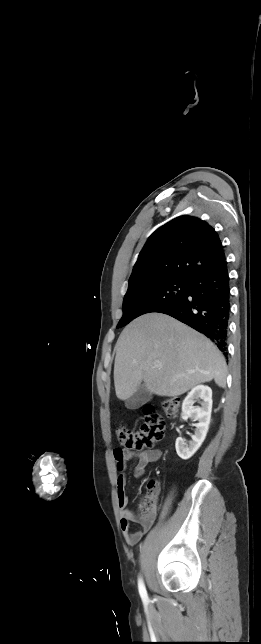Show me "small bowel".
Here are the masks:
<instances>
[{"label": "small bowel", "mask_w": 261, "mask_h": 644, "mask_svg": "<svg viewBox=\"0 0 261 644\" xmlns=\"http://www.w3.org/2000/svg\"><path fill=\"white\" fill-rule=\"evenodd\" d=\"M161 454L162 453L159 449H146L138 451L128 448H115L113 450V457L117 463V469L119 472L116 482V494L118 505L120 507V528L126 542L129 545H135L142 539V537L151 529L153 520L151 519L147 521H141V530L131 531V522H137L138 520L133 511L125 509L128 504V496L125 490V470L127 467V462L133 459L136 460L134 466V474L136 476H140L149 463L156 462L160 459Z\"/></svg>", "instance_id": "1"}]
</instances>
